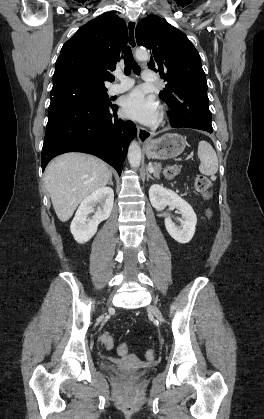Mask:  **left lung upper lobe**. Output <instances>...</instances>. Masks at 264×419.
<instances>
[{"label": "left lung upper lobe", "mask_w": 264, "mask_h": 419, "mask_svg": "<svg viewBox=\"0 0 264 419\" xmlns=\"http://www.w3.org/2000/svg\"><path fill=\"white\" fill-rule=\"evenodd\" d=\"M138 45L152 52L148 67L167 82L159 96L168 105H176L191 94L207 93L201 57L180 30L158 16L142 19L135 30Z\"/></svg>", "instance_id": "obj_1"}]
</instances>
